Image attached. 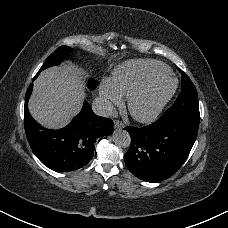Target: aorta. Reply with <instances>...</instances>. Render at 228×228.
Listing matches in <instances>:
<instances>
[{
    "instance_id": "obj_1",
    "label": "aorta",
    "mask_w": 228,
    "mask_h": 228,
    "mask_svg": "<svg viewBox=\"0 0 228 228\" xmlns=\"http://www.w3.org/2000/svg\"><path fill=\"white\" fill-rule=\"evenodd\" d=\"M113 141L117 146L127 148L130 146L131 138L126 130L120 129L114 132Z\"/></svg>"
}]
</instances>
